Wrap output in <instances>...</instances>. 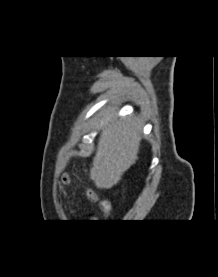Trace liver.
Segmentation results:
<instances>
[{
	"label": "liver",
	"instance_id": "obj_1",
	"mask_svg": "<svg viewBox=\"0 0 218 277\" xmlns=\"http://www.w3.org/2000/svg\"><path fill=\"white\" fill-rule=\"evenodd\" d=\"M115 113L109 111L90 169V179L98 189L112 188L138 159L140 127L130 118L114 121Z\"/></svg>",
	"mask_w": 218,
	"mask_h": 277
}]
</instances>
